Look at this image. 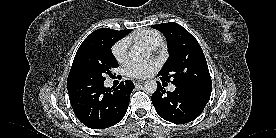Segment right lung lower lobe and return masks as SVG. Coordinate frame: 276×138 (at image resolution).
Segmentation results:
<instances>
[{
    "mask_svg": "<svg viewBox=\"0 0 276 138\" xmlns=\"http://www.w3.org/2000/svg\"><path fill=\"white\" fill-rule=\"evenodd\" d=\"M133 89V82L125 80L116 88L101 84L69 93V98L75 115L84 125L104 129L125 116Z\"/></svg>",
    "mask_w": 276,
    "mask_h": 138,
    "instance_id": "98d812e1",
    "label": "right lung lower lobe"
}]
</instances>
